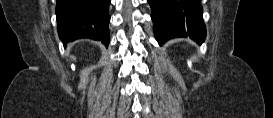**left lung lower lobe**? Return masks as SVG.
<instances>
[{
  "mask_svg": "<svg viewBox=\"0 0 273 118\" xmlns=\"http://www.w3.org/2000/svg\"><path fill=\"white\" fill-rule=\"evenodd\" d=\"M155 37L160 45L176 37L202 43L206 37L200 0H148Z\"/></svg>",
  "mask_w": 273,
  "mask_h": 118,
  "instance_id": "left-lung-lower-lobe-1",
  "label": "left lung lower lobe"
}]
</instances>
